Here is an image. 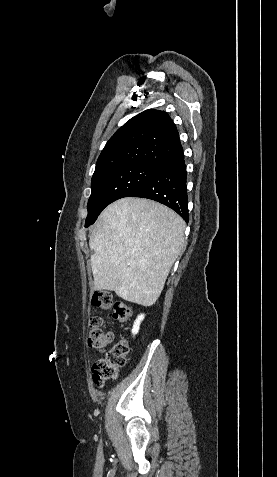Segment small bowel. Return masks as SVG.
Returning <instances> with one entry per match:
<instances>
[{"mask_svg": "<svg viewBox=\"0 0 277 477\" xmlns=\"http://www.w3.org/2000/svg\"><path fill=\"white\" fill-rule=\"evenodd\" d=\"M99 352L103 353L105 352V349H100Z\"/></svg>", "mask_w": 277, "mask_h": 477, "instance_id": "c3829d8e", "label": "small bowel"}]
</instances>
